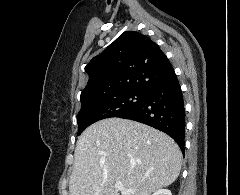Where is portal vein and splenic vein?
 I'll list each match as a JSON object with an SVG mask.
<instances>
[{"instance_id":"18ae733b","label":"portal vein and splenic vein","mask_w":240,"mask_h":195,"mask_svg":"<svg viewBox=\"0 0 240 195\" xmlns=\"http://www.w3.org/2000/svg\"><path fill=\"white\" fill-rule=\"evenodd\" d=\"M116 189H121V191H125V193H134V189H125L123 183L121 181H116L115 183Z\"/></svg>"}]
</instances>
